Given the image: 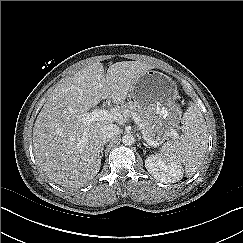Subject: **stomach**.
I'll list each match as a JSON object with an SVG mask.
<instances>
[{
	"label": "stomach",
	"mask_w": 243,
	"mask_h": 243,
	"mask_svg": "<svg viewBox=\"0 0 243 243\" xmlns=\"http://www.w3.org/2000/svg\"><path fill=\"white\" fill-rule=\"evenodd\" d=\"M134 105L149 116L154 133L168 135L179 124L182 110L177 103L175 82L166 74L147 70L130 92Z\"/></svg>",
	"instance_id": "stomach-1"
}]
</instances>
